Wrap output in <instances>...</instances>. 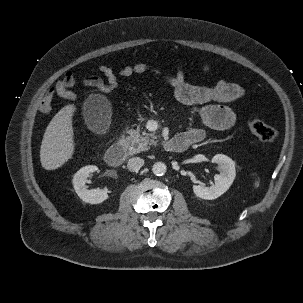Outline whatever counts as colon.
<instances>
[{
  "instance_id": "5ec220e1",
  "label": "colon",
  "mask_w": 303,
  "mask_h": 303,
  "mask_svg": "<svg viewBox=\"0 0 303 303\" xmlns=\"http://www.w3.org/2000/svg\"><path fill=\"white\" fill-rule=\"evenodd\" d=\"M112 87V84L106 83L104 86V93L112 91ZM246 126L253 135L266 144H273L278 139V132L261 120L253 118L248 119Z\"/></svg>"
}]
</instances>
